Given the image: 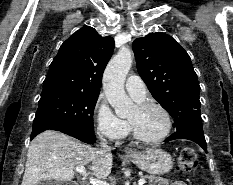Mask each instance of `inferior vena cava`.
Instances as JSON below:
<instances>
[{
  "mask_svg": "<svg viewBox=\"0 0 233 185\" xmlns=\"http://www.w3.org/2000/svg\"><path fill=\"white\" fill-rule=\"evenodd\" d=\"M101 148L104 151H110L111 148L107 145L106 141L103 139V142H101Z\"/></svg>",
  "mask_w": 233,
  "mask_h": 185,
  "instance_id": "obj_1",
  "label": "inferior vena cava"
}]
</instances>
